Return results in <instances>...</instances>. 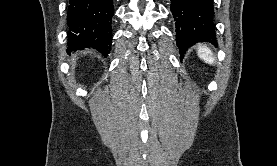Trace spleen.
Wrapping results in <instances>:
<instances>
[{"label":"spleen","mask_w":277,"mask_h":166,"mask_svg":"<svg viewBox=\"0 0 277 166\" xmlns=\"http://www.w3.org/2000/svg\"><path fill=\"white\" fill-rule=\"evenodd\" d=\"M197 54L200 59H202L205 63H208L209 65H213L215 61V57L213 56L211 50L205 46V45H200L198 47Z\"/></svg>","instance_id":"obj_1"}]
</instances>
